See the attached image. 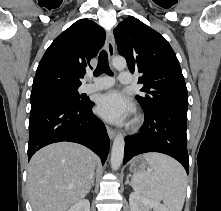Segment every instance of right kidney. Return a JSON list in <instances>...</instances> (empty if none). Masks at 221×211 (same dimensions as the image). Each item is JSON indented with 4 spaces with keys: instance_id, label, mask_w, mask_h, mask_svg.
Returning <instances> with one entry per match:
<instances>
[{
    "instance_id": "ca27d5eb",
    "label": "right kidney",
    "mask_w": 221,
    "mask_h": 211,
    "mask_svg": "<svg viewBox=\"0 0 221 211\" xmlns=\"http://www.w3.org/2000/svg\"><path fill=\"white\" fill-rule=\"evenodd\" d=\"M67 211H90V202L86 199L80 200Z\"/></svg>"
}]
</instances>
